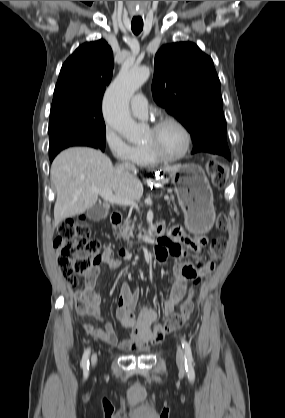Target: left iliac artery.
Masks as SVG:
<instances>
[{
	"instance_id": "1",
	"label": "left iliac artery",
	"mask_w": 285,
	"mask_h": 418,
	"mask_svg": "<svg viewBox=\"0 0 285 418\" xmlns=\"http://www.w3.org/2000/svg\"><path fill=\"white\" fill-rule=\"evenodd\" d=\"M182 347L185 353V369L190 378L195 377L194 367H193V357L192 351L190 347V343H188L185 339H181Z\"/></svg>"
}]
</instances>
